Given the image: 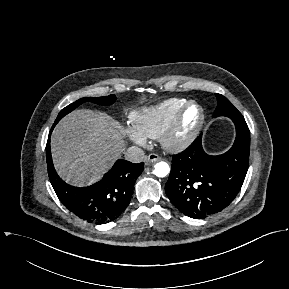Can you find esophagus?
Masks as SVG:
<instances>
[{"label": "esophagus", "instance_id": "1", "mask_svg": "<svg viewBox=\"0 0 289 289\" xmlns=\"http://www.w3.org/2000/svg\"><path fill=\"white\" fill-rule=\"evenodd\" d=\"M161 158L159 155L157 154H149L147 157H146V163H153V162H157V161H160Z\"/></svg>", "mask_w": 289, "mask_h": 289}]
</instances>
